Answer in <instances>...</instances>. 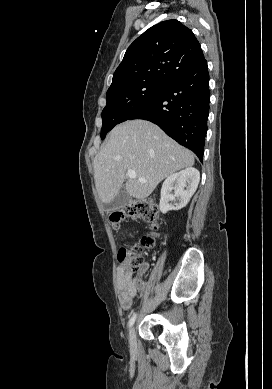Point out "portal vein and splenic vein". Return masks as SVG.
Masks as SVG:
<instances>
[{
    "instance_id": "1",
    "label": "portal vein and splenic vein",
    "mask_w": 272,
    "mask_h": 389,
    "mask_svg": "<svg viewBox=\"0 0 272 389\" xmlns=\"http://www.w3.org/2000/svg\"><path fill=\"white\" fill-rule=\"evenodd\" d=\"M127 176H128L129 178H136V173H135V171H133V170H128V171H127ZM139 181H140V182H143V183L147 182V180H145V179H143V178H139Z\"/></svg>"
}]
</instances>
